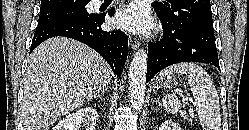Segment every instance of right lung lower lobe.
I'll list each match as a JSON object with an SVG mask.
<instances>
[{"instance_id": "right-lung-lower-lobe-1", "label": "right lung lower lobe", "mask_w": 249, "mask_h": 130, "mask_svg": "<svg viewBox=\"0 0 249 130\" xmlns=\"http://www.w3.org/2000/svg\"><path fill=\"white\" fill-rule=\"evenodd\" d=\"M112 8L109 15L112 16ZM105 22L103 15H92L85 20L62 21L36 28L30 52L43 41L65 36L78 40L97 51L110 65L113 72L120 76L123 71L128 52V37L120 30L105 32L101 25Z\"/></svg>"}]
</instances>
